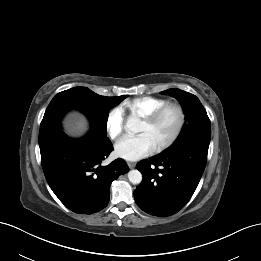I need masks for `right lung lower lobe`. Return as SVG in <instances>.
Wrapping results in <instances>:
<instances>
[{"label": "right lung lower lobe", "instance_id": "right-lung-lower-lobe-1", "mask_svg": "<svg viewBox=\"0 0 261 261\" xmlns=\"http://www.w3.org/2000/svg\"><path fill=\"white\" fill-rule=\"evenodd\" d=\"M39 147L50 188L67 208L78 214L105 208L112 181L129 171L121 158L103 166L113 145L92 130L76 140L64 134L60 123L50 124L40 128Z\"/></svg>", "mask_w": 261, "mask_h": 261}]
</instances>
